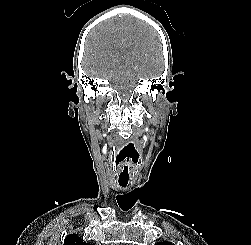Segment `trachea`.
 <instances>
[{
	"instance_id": "trachea-1",
	"label": "trachea",
	"mask_w": 251,
	"mask_h": 245,
	"mask_svg": "<svg viewBox=\"0 0 251 245\" xmlns=\"http://www.w3.org/2000/svg\"><path fill=\"white\" fill-rule=\"evenodd\" d=\"M120 186L125 187L127 184L126 183H119Z\"/></svg>"
}]
</instances>
